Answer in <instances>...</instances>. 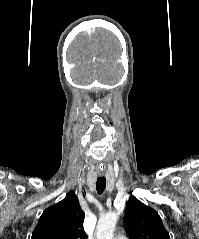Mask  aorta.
I'll return each instance as SVG.
<instances>
[{"label":"aorta","mask_w":199,"mask_h":239,"mask_svg":"<svg viewBox=\"0 0 199 239\" xmlns=\"http://www.w3.org/2000/svg\"><path fill=\"white\" fill-rule=\"evenodd\" d=\"M118 220V215L111 212L101 217L96 227V239H113V233Z\"/></svg>","instance_id":"aorta-1"}]
</instances>
